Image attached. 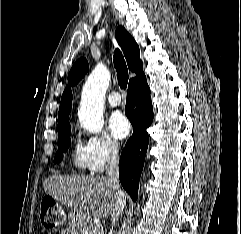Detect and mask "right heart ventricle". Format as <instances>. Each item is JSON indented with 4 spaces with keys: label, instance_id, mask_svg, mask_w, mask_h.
I'll return each mask as SVG.
<instances>
[{
    "label": "right heart ventricle",
    "instance_id": "1",
    "mask_svg": "<svg viewBox=\"0 0 241 234\" xmlns=\"http://www.w3.org/2000/svg\"><path fill=\"white\" fill-rule=\"evenodd\" d=\"M72 160L78 170H90V160L86 145H83L80 141L76 142L74 146Z\"/></svg>",
    "mask_w": 241,
    "mask_h": 234
}]
</instances>
